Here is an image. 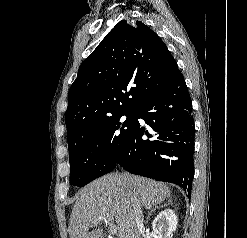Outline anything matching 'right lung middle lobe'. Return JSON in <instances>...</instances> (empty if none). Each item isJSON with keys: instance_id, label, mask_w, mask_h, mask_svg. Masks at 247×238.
Segmentation results:
<instances>
[{"instance_id": "1", "label": "right lung middle lobe", "mask_w": 247, "mask_h": 238, "mask_svg": "<svg viewBox=\"0 0 247 238\" xmlns=\"http://www.w3.org/2000/svg\"><path fill=\"white\" fill-rule=\"evenodd\" d=\"M135 122V112L123 113L87 129L70 145L71 184L83 187L112 171Z\"/></svg>"}]
</instances>
